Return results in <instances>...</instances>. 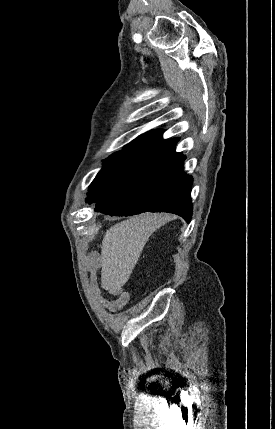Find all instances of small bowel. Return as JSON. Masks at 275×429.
Listing matches in <instances>:
<instances>
[{
    "label": "small bowel",
    "instance_id": "small-bowel-1",
    "mask_svg": "<svg viewBox=\"0 0 275 429\" xmlns=\"http://www.w3.org/2000/svg\"><path fill=\"white\" fill-rule=\"evenodd\" d=\"M108 291L115 296L113 299L105 298L98 286L93 287L94 295L98 303L110 311L124 308L130 302V294L120 288H108Z\"/></svg>",
    "mask_w": 275,
    "mask_h": 429
}]
</instances>
